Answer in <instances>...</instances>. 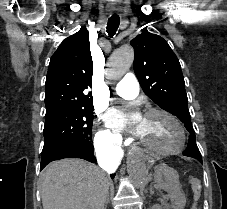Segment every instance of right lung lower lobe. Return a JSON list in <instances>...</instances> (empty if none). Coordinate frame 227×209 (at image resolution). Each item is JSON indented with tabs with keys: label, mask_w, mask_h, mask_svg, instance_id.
Instances as JSON below:
<instances>
[{
	"label": "right lung lower lobe",
	"mask_w": 227,
	"mask_h": 209,
	"mask_svg": "<svg viewBox=\"0 0 227 209\" xmlns=\"http://www.w3.org/2000/svg\"><path fill=\"white\" fill-rule=\"evenodd\" d=\"M63 158H81L92 163H96L97 161L94 156V147L90 140H79L64 143L42 151L40 169H43L48 163L54 160H60Z\"/></svg>",
	"instance_id": "right-lung-lower-lobe-1"
}]
</instances>
